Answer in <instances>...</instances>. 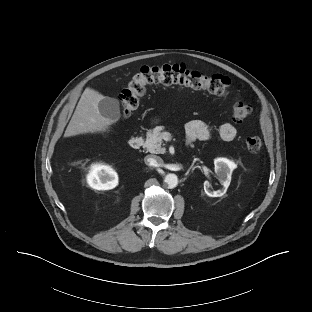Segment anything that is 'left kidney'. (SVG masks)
I'll return each mask as SVG.
<instances>
[{
	"mask_svg": "<svg viewBox=\"0 0 312 312\" xmlns=\"http://www.w3.org/2000/svg\"><path fill=\"white\" fill-rule=\"evenodd\" d=\"M214 165H215V173L219 181L222 183L224 189L218 191H211L210 183L208 181H205L204 191L210 197H221L224 195L227 188L229 187L231 182L232 171L237 167V165L227 158H216L214 160Z\"/></svg>",
	"mask_w": 312,
	"mask_h": 312,
	"instance_id": "left-kidney-1",
	"label": "left kidney"
}]
</instances>
